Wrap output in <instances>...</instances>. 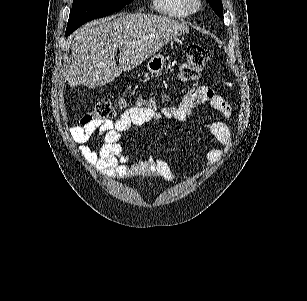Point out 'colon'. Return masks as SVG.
Masks as SVG:
<instances>
[{
  "label": "colon",
  "mask_w": 307,
  "mask_h": 301,
  "mask_svg": "<svg viewBox=\"0 0 307 301\" xmlns=\"http://www.w3.org/2000/svg\"><path fill=\"white\" fill-rule=\"evenodd\" d=\"M211 53L208 47L200 44H191L186 49V60L182 64L179 72L181 80L191 82L198 79L201 71L207 65ZM123 106V101L112 102L109 99H102L97 102L95 107L81 118L82 125L94 122L110 121ZM140 107L153 108L152 101L140 100Z\"/></svg>",
  "instance_id": "obj_1"
}]
</instances>
